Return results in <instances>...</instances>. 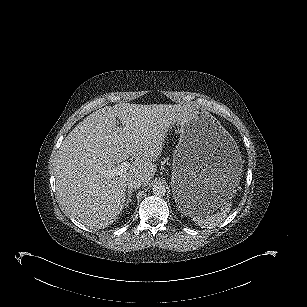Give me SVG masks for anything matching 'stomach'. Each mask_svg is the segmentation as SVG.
I'll use <instances>...</instances> for the list:
<instances>
[{
    "label": "stomach",
    "mask_w": 307,
    "mask_h": 307,
    "mask_svg": "<svg viewBox=\"0 0 307 307\" xmlns=\"http://www.w3.org/2000/svg\"><path fill=\"white\" fill-rule=\"evenodd\" d=\"M180 121L171 187L182 213L212 212L235 196L242 175L239 148L207 110L190 107Z\"/></svg>",
    "instance_id": "1"
}]
</instances>
